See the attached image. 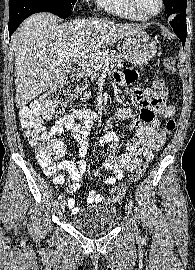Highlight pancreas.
I'll use <instances>...</instances> for the list:
<instances>
[{
    "instance_id": "1",
    "label": "pancreas",
    "mask_w": 195,
    "mask_h": 270,
    "mask_svg": "<svg viewBox=\"0 0 195 270\" xmlns=\"http://www.w3.org/2000/svg\"><path fill=\"white\" fill-rule=\"evenodd\" d=\"M108 55V60L101 61L99 59L95 60L89 58L82 66V74L92 80L99 77L102 70L105 68V64H108L110 67H121L123 65V55L114 51L106 50L104 51Z\"/></svg>"
}]
</instances>
